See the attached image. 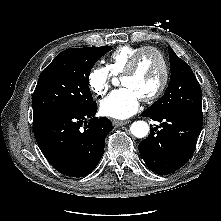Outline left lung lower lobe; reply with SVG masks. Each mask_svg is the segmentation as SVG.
Returning <instances> with one entry per match:
<instances>
[{"label":"left lung lower lobe","mask_w":221,"mask_h":221,"mask_svg":"<svg viewBox=\"0 0 221 221\" xmlns=\"http://www.w3.org/2000/svg\"><path fill=\"white\" fill-rule=\"evenodd\" d=\"M161 123L151 129L138 149L147 167L156 174L167 175L181 168L192 156L203 124L202 112L141 114Z\"/></svg>","instance_id":"obj_1"}]
</instances>
